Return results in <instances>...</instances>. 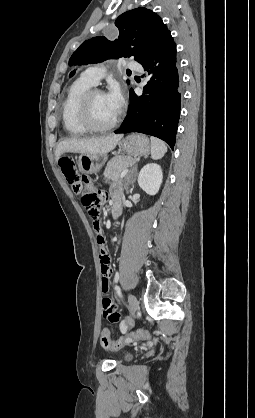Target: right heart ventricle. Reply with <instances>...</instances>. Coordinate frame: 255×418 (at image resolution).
Listing matches in <instances>:
<instances>
[{"instance_id":"1","label":"right heart ventricle","mask_w":255,"mask_h":418,"mask_svg":"<svg viewBox=\"0 0 255 418\" xmlns=\"http://www.w3.org/2000/svg\"><path fill=\"white\" fill-rule=\"evenodd\" d=\"M93 86L94 84L82 76L74 81L67 91L61 114L63 127L69 135L82 136L88 132L78 119V109L83 95Z\"/></svg>"}]
</instances>
